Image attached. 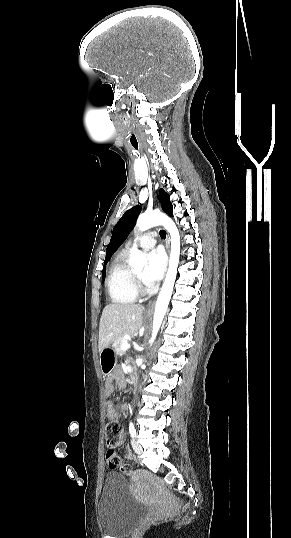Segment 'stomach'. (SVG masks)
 <instances>
[{
  "mask_svg": "<svg viewBox=\"0 0 291 538\" xmlns=\"http://www.w3.org/2000/svg\"><path fill=\"white\" fill-rule=\"evenodd\" d=\"M117 353L112 346L100 351V367L103 375H109L116 367Z\"/></svg>",
  "mask_w": 291,
  "mask_h": 538,
  "instance_id": "0dacf381",
  "label": "stomach"
}]
</instances>
